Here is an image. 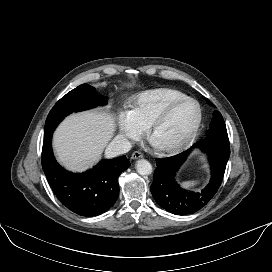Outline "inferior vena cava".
Returning <instances> with one entry per match:
<instances>
[{
  "label": "inferior vena cava",
  "mask_w": 272,
  "mask_h": 272,
  "mask_svg": "<svg viewBox=\"0 0 272 272\" xmlns=\"http://www.w3.org/2000/svg\"><path fill=\"white\" fill-rule=\"evenodd\" d=\"M132 145L129 140L121 135H117L107 146L105 150V156L107 158H113L121 154L127 153L131 149Z\"/></svg>",
  "instance_id": "inferior-vena-cava-1"
}]
</instances>
